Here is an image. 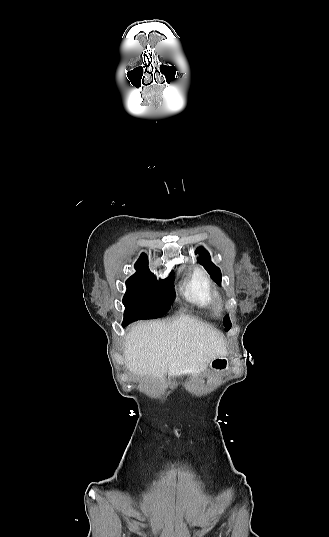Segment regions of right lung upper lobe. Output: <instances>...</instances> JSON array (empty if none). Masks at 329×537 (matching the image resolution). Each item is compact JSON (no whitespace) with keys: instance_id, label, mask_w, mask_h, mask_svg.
I'll return each instance as SVG.
<instances>
[{"instance_id":"1","label":"right lung upper lobe","mask_w":329,"mask_h":537,"mask_svg":"<svg viewBox=\"0 0 329 537\" xmlns=\"http://www.w3.org/2000/svg\"><path fill=\"white\" fill-rule=\"evenodd\" d=\"M148 267V260H147V257L146 255H142L139 260L137 261V263L135 264V268L136 269H140V268H146Z\"/></svg>"}]
</instances>
